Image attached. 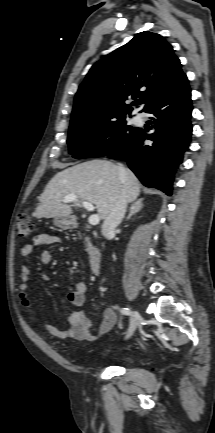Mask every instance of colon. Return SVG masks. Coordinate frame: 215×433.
<instances>
[{"mask_svg": "<svg viewBox=\"0 0 215 433\" xmlns=\"http://www.w3.org/2000/svg\"><path fill=\"white\" fill-rule=\"evenodd\" d=\"M15 231L19 238H27L32 235L34 231V221L28 213L24 212L17 216Z\"/></svg>", "mask_w": 215, "mask_h": 433, "instance_id": "obj_1", "label": "colon"}]
</instances>
